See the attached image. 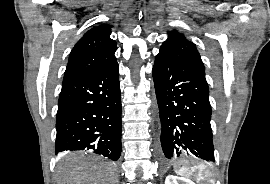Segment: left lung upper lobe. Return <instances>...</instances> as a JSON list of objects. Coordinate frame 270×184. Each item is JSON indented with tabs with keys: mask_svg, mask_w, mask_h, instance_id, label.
Segmentation results:
<instances>
[{
	"mask_svg": "<svg viewBox=\"0 0 270 184\" xmlns=\"http://www.w3.org/2000/svg\"><path fill=\"white\" fill-rule=\"evenodd\" d=\"M159 54L181 61L205 79V67L195 44L188 41L184 35L176 31L169 32L168 39L162 44Z\"/></svg>",
	"mask_w": 270,
	"mask_h": 184,
	"instance_id": "1",
	"label": "left lung upper lobe"
}]
</instances>
